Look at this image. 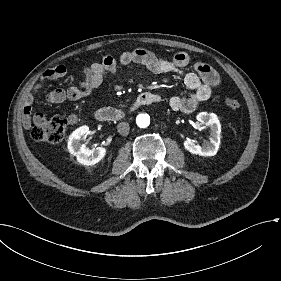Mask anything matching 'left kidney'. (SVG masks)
Listing matches in <instances>:
<instances>
[{
	"instance_id": "obj_1",
	"label": "left kidney",
	"mask_w": 281,
	"mask_h": 281,
	"mask_svg": "<svg viewBox=\"0 0 281 281\" xmlns=\"http://www.w3.org/2000/svg\"><path fill=\"white\" fill-rule=\"evenodd\" d=\"M196 119L210 128V140L203 146L194 144L191 140L187 139L183 145L191 154L199 156H215L217 154L220 139H221V125L217 116L213 113H199Z\"/></svg>"
}]
</instances>
